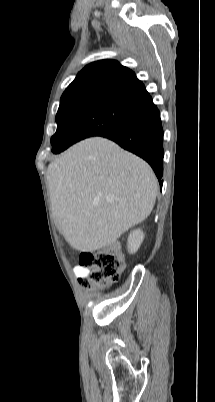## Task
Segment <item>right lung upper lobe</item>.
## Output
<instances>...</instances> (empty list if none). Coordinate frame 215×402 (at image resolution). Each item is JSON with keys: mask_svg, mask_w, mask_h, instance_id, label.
Returning <instances> with one entry per match:
<instances>
[{"mask_svg": "<svg viewBox=\"0 0 215 402\" xmlns=\"http://www.w3.org/2000/svg\"><path fill=\"white\" fill-rule=\"evenodd\" d=\"M91 93L110 94L143 105L152 100L135 73L115 60H100L85 66L62 97Z\"/></svg>", "mask_w": 215, "mask_h": 402, "instance_id": "cb5924a9", "label": "right lung upper lobe"}]
</instances>
